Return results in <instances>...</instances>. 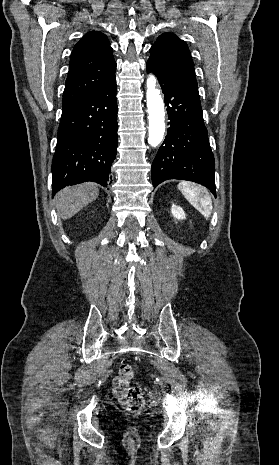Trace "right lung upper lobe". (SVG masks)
I'll list each match as a JSON object with an SVG mask.
<instances>
[{"label": "right lung upper lobe", "mask_w": 279, "mask_h": 465, "mask_svg": "<svg viewBox=\"0 0 279 465\" xmlns=\"http://www.w3.org/2000/svg\"><path fill=\"white\" fill-rule=\"evenodd\" d=\"M115 69L107 36L98 31L85 34L71 53L62 112L87 99L115 75Z\"/></svg>", "instance_id": "obj_1"}]
</instances>
